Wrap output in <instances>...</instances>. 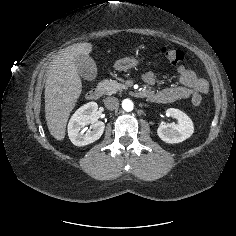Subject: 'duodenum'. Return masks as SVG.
Here are the masks:
<instances>
[{"label":"duodenum","instance_id":"duodenum-1","mask_svg":"<svg viewBox=\"0 0 236 236\" xmlns=\"http://www.w3.org/2000/svg\"><path fill=\"white\" fill-rule=\"evenodd\" d=\"M103 91H104V89H103L102 86L94 87L86 93V98L90 101H95V100L99 99L102 96ZM138 93L140 95H142L144 92L139 91Z\"/></svg>","mask_w":236,"mask_h":236}]
</instances>
